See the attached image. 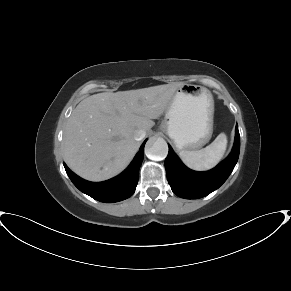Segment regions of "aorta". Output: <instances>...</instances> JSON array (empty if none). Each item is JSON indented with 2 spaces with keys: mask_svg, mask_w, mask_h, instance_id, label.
<instances>
[{
  "mask_svg": "<svg viewBox=\"0 0 291 291\" xmlns=\"http://www.w3.org/2000/svg\"><path fill=\"white\" fill-rule=\"evenodd\" d=\"M146 155L149 159L160 161L166 158L168 154V145L163 138L150 139L145 147Z\"/></svg>",
  "mask_w": 291,
  "mask_h": 291,
  "instance_id": "aorta-1",
  "label": "aorta"
}]
</instances>
